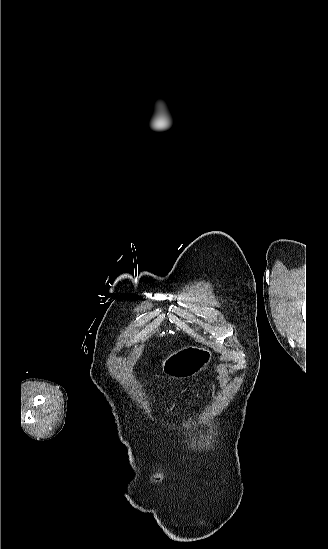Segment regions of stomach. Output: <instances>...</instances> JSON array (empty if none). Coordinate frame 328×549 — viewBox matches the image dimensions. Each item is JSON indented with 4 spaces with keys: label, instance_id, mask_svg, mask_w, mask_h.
I'll use <instances>...</instances> for the list:
<instances>
[{
    "label": "stomach",
    "instance_id": "obj_1",
    "mask_svg": "<svg viewBox=\"0 0 328 549\" xmlns=\"http://www.w3.org/2000/svg\"><path fill=\"white\" fill-rule=\"evenodd\" d=\"M211 359V349L202 345H190L164 359L161 369L169 379H189L204 371Z\"/></svg>",
    "mask_w": 328,
    "mask_h": 549
}]
</instances>
